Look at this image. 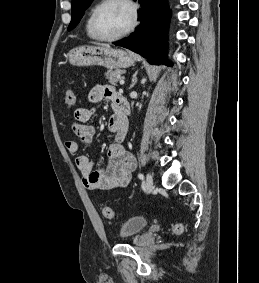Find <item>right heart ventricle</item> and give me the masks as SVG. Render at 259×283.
<instances>
[{
    "label": "right heart ventricle",
    "instance_id": "e07e8e85",
    "mask_svg": "<svg viewBox=\"0 0 259 283\" xmlns=\"http://www.w3.org/2000/svg\"><path fill=\"white\" fill-rule=\"evenodd\" d=\"M94 8H95V6L90 9L88 16H87V19H86V22H85V33H86L87 37L90 38V39H95V37L93 36L91 29H90V20H91V15H92Z\"/></svg>",
    "mask_w": 259,
    "mask_h": 283
}]
</instances>
